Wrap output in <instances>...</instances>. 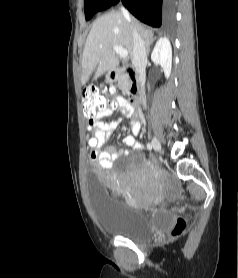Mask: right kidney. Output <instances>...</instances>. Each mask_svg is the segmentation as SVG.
I'll use <instances>...</instances> for the list:
<instances>
[{
  "instance_id": "1",
  "label": "right kidney",
  "mask_w": 238,
  "mask_h": 278,
  "mask_svg": "<svg viewBox=\"0 0 238 278\" xmlns=\"http://www.w3.org/2000/svg\"><path fill=\"white\" fill-rule=\"evenodd\" d=\"M151 59L154 64L160 65L164 71L165 77L169 78L172 67V48L168 38H160L156 43Z\"/></svg>"
}]
</instances>
